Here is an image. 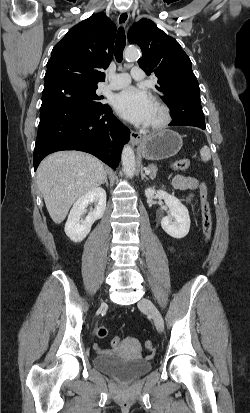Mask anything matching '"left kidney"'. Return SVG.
Here are the masks:
<instances>
[{"label":"left kidney","mask_w":250,"mask_h":413,"mask_svg":"<svg viewBox=\"0 0 250 413\" xmlns=\"http://www.w3.org/2000/svg\"><path fill=\"white\" fill-rule=\"evenodd\" d=\"M147 198H159L165 201L170 213L162 218L161 226L163 230L173 238H184L190 229V217L188 209L174 195H170L163 190L147 188L145 190Z\"/></svg>","instance_id":"5707ae66"}]
</instances>
